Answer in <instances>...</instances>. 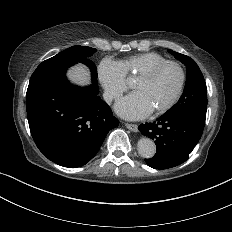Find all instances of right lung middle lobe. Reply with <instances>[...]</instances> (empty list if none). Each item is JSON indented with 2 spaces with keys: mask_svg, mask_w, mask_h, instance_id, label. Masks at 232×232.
Returning a JSON list of instances; mask_svg holds the SVG:
<instances>
[{
  "mask_svg": "<svg viewBox=\"0 0 232 232\" xmlns=\"http://www.w3.org/2000/svg\"><path fill=\"white\" fill-rule=\"evenodd\" d=\"M96 49L86 46H72L54 57H72L76 59L90 57L93 53H95ZM90 69L97 76V69L95 65H90Z\"/></svg>",
  "mask_w": 232,
  "mask_h": 232,
  "instance_id": "obj_1",
  "label": "right lung middle lobe"
}]
</instances>
